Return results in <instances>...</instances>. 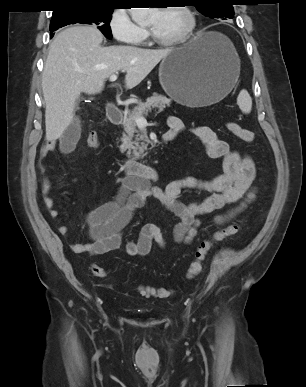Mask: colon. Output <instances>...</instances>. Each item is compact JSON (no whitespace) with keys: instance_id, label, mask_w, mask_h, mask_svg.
<instances>
[{"instance_id":"colon-1","label":"colon","mask_w":306,"mask_h":387,"mask_svg":"<svg viewBox=\"0 0 306 387\" xmlns=\"http://www.w3.org/2000/svg\"><path fill=\"white\" fill-rule=\"evenodd\" d=\"M227 130L236 138L251 143L254 141V133L248 129H245L241 125H239L236 122H227L226 123ZM87 146L90 148H97L99 146V137L96 133H90L87 136L86 139ZM240 229V224L235 222L231 223L220 230L216 231L210 239H206L200 242V244L197 246L195 253H194V259L190 263L187 275L189 278H194L197 275H199L203 269V261L205 259V256L212 244L213 241H219L224 239L225 237L234 235L238 232ZM92 273L100 278L106 277L107 273L104 268L99 266H93L92 267ZM140 294L143 296H155L159 298H165L169 295V291L164 288H155L150 286H141L139 288Z\"/></svg>"}]
</instances>
